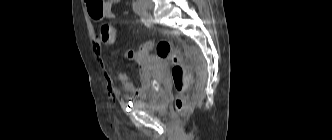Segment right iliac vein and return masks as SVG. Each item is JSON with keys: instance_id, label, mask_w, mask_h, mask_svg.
Here are the masks:
<instances>
[{"instance_id": "right-iliac-vein-1", "label": "right iliac vein", "mask_w": 332, "mask_h": 140, "mask_svg": "<svg viewBox=\"0 0 332 140\" xmlns=\"http://www.w3.org/2000/svg\"><path fill=\"white\" fill-rule=\"evenodd\" d=\"M138 2L144 7L145 10L153 9V3L151 0H138Z\"/></svg>"}]
</instances>
